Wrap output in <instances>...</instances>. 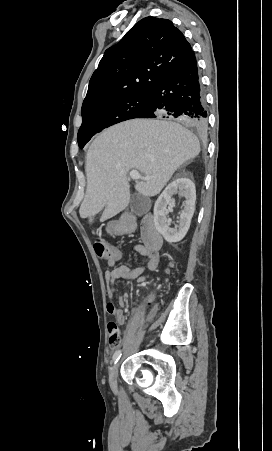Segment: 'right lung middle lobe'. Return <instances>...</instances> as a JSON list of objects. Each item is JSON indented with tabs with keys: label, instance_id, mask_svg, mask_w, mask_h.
<instances>
[{
	"label": "right lung middle lobe",
	"instance_id": "right-lung-middle-lobe-1",
	"mask_svg": "<svg viewBox=\"0 0 272 451\" xmlns=\"http://www.w3.org/2000/svg\"><path fill=\"white\" fill-rule=\"evenodd\" d=\"M149 94L130 95L107 100L82 112L78 144L82 149L96 133L116 123L137 118L148 105Z\"/></svg>",
	"mask_w": 272,
	"mask_h": 451
}]
</instances>
